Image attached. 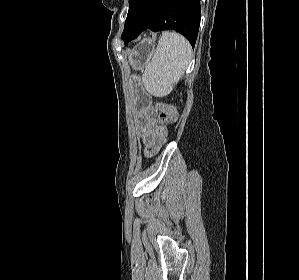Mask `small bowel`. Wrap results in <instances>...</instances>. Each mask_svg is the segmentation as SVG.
I'll list each match as a JSON object with an SVG mask.
<instances>
[{"label":"small bowel","instance_id":"c3829d8e","mask_svg":"<svg viewBox=\"0 0 299 280\" xmlns=\"http://www.w3.org/2000/svg\"><path fill=\"white\" fill-rule=\"evenodd\" d=\"M144 153L152 156L162 147L166 138V129L152 120H147L140 125Z\"/></svg>","mask_w":299,"mask_h":280}]
</instances>
